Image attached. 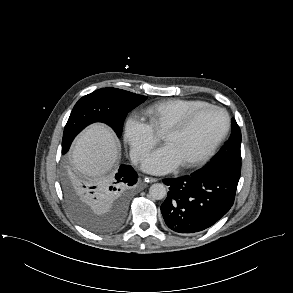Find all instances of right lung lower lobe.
Here are the masks:
<instances>
[{
	"mask_svg": "<svg viewBox=\"0 0 293 293\" xmlns=\"http://www.w3.org/2000/svg\"><path fill=\"white\" fill-rule=\"evenodd\" d=\"M137 182V173L129 165H121L111 178L95 184H81V198L85 205L99 214H106L120 223L108 232L119 228L127 213V191Z\"/></svg>",
	"mask_w": 293,
	"mask_h": 293,
	"instance_id": "1",
	"label": "right lung lower lobe"
}]
</instances>
